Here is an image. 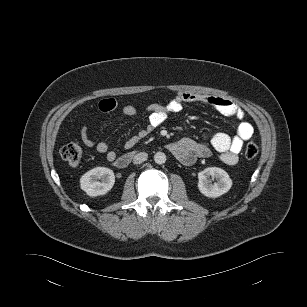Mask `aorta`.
<instances>
[{"label":"aorta","instance_id":"762f6f07","mask_svg":"<svg viewBox=\"0 0 307 307\" xmlns=\"http://www.w3.org/2000/svg\"><path fill=\"white\" fill-rule=\"evenodd\" d=\"M154 161L157 164H164L166 162V155L163 152H157L154 155Z\"/></svg>","mask_w":307,"mask_h":307}]
</instances>
